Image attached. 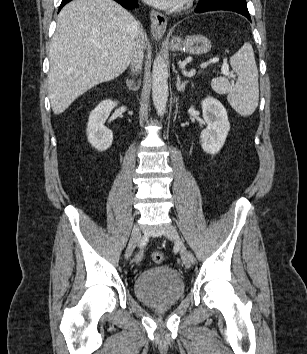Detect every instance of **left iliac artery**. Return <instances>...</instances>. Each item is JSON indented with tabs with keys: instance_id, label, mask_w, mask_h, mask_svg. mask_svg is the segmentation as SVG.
<instances>
[{
	"instance_id": "left-iliac-artery-1",
	"label": "left iliac artery",
	"mask_w": 307,
	"mask_h": 354,
	"mask_svg": "<svg viewBox=\"0 0 307 354\" xmlns=\"http://www.w3.org/2000/svg\"><path fill=\"white\" fill-rule=\"evenodd\" d=\"M190 257H191V261H192V262H194V258H193V256H192V255H190Z\"/></svg>"
}]
</instances>
